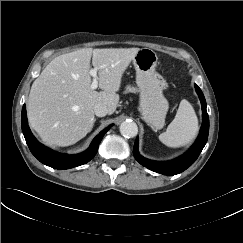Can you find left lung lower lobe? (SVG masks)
Returning a JSON list of instances; mask_svg holds the SVG:
<instances>
[{"label": "left lung lower lobe", "instance_id": "1", "mask_svg": "<svg viewBox=\"0 0 243 243\" xmlns=\"http://www.w3.org/2000/svg\"><path fill=\"white\" fill-rule=\"evenodd\" d=\"M196 92L200 98L202 104V113H203V123L200 129L199 136L190 150L185 153L184 155L176 158L172 161L167 162H155L152 160H148L142 157L138 152V138L135 141L133 155L135 159L143 166L147 167L148 169L161 173L164 175L172 176L179 174L190 167L195 160L198 158L199 154L201 153L202 149L204 148L207 139H208V132H209V117L206 110V101L201 89L195 84Z\"/></svg>", "mask_w": 243, "mask_h": 243}]
</instances>
